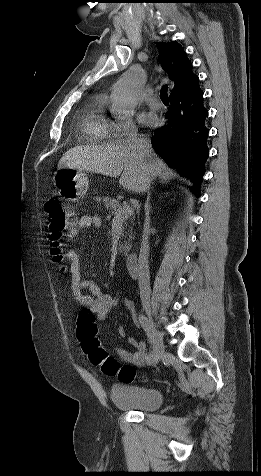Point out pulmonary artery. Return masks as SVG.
Here are the masks:
<instances>
[{
	"label": "pulmonary artery",
	"instance_id": "e3ab8cb5",
	"mask_svg": "<svg viewBox=\"0 0 261 476\" xmlns=\"http://www.w3.org/2000/svg\"><path fill=\"white\" fill-rule=\"evenodd\" d=\"M147 103L151 108L156 109V110H158L162 107V104H161V102L159 101V99L157 98L156 95L150 96L147 99Z\"/></svg>",
	"mask_w": 261,
	"mask_h": 476
}]
</instances>
